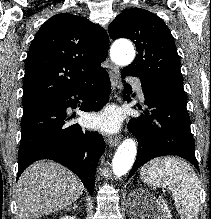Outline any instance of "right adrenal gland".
<instances>
[{"label":"right adrenal gland","instance_id":"obj_1","mask_svg":"<svg viewBox=\"0 0 211 219\" xmlns=\"http://www.w3.org/2000/svg\"><path fill=\"white\" fill-rule=\"evenodd\" d=\"M77 207H78V205L75 203V204L73 205V207L66 208V210H67V211H69V210H76Z\"/></svg>","mask_w":211,"mask_h":219}]
</instances>
